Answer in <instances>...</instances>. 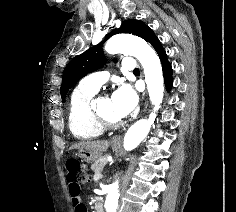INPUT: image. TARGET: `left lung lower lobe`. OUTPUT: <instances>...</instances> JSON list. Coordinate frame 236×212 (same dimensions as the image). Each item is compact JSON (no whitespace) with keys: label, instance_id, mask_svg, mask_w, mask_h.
Listing matches in <instances>:
<instances>
[{"label":"left lung lower lobe","instance_id":"obj_1","mask_svg":"<svg viewBox=\"0 0 236 212\" xmlns=\"http://www.w3.org/2000/svg\"><path fill=\"white\" fill-rule=\"evenodd\" d=\"M145 40L153 46V48L159 55L163 68L165 86L166 89L169 91L172 87V67L167 59L166 52L163 49L158 37L154 34L152 30L149 32Z\"/></svg>","mask_w":236,"mask_h":212}]
</instances>
